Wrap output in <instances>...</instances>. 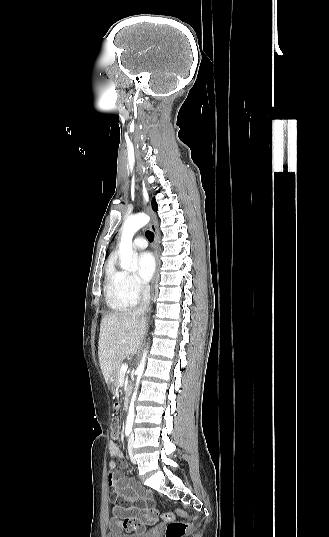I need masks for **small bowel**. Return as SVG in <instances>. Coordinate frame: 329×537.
<instances>
[{"label": "small bowel", "instance_id": "obj_1", "mask_svg": "<svg viewBox=\"0 0 329 537\" xmlns=\"http://www.w3.org/2000/svg\"><path fill=\"white\" fill-rule=\"evenodd\" d=\"M113 409L114 412L120 411L122 404L115 402ZM109 453L114 458H123L121 448L114 442L109 444ZM124 466V464L118 466L115 461L109 463L108 484L113 487L110 490L109 503L113 506L111 512L114 515L109 525L115 530L143 532L146 526L157 521L158 511L153 504L150 491L138 485L133 478L125 476Z\"/></svg>", "mask_w": 329, "mask_h": 537}]
</instances>
